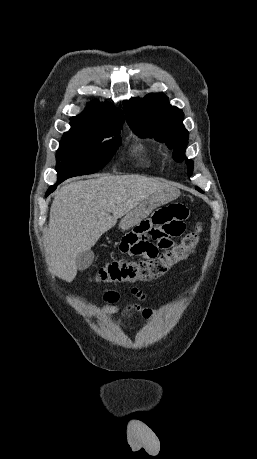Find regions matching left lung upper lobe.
I'll return each instance as SVG.
<instances>
[{
  "label": "left lung upper lobe",
  "instance_id": "1",
  "mask_svg": "<svg viewBox=\"0 0 257 459\" xmlns=\"http://www.w3.org/2000/svg\"><path fill=\"white\" fill-rule=\"evenodd\" d=\"M126 120L130 128L139 137H154L159 142L173 149V158L177 162L185 159V149L189 138L183 126L184 114L177 107L169 104L164 94H148L142 99L123 102ZM188 175L193 171V162L186 159ZM196 189L204 193L200 188Z\"/></svg>",
  "mask_w": 257,
  "mask_h": 459
}]
</instances>
